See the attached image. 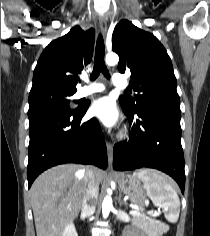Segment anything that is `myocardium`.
I'll return each mask as SVG.
<instances>
[{
	"mask_svg": "<svg viewBox=\"0 0 210 236\" xmlns=\"http://www.w3.org/2000/svg\"><path fill=\"white\" fill-rule=\"evenodd\" d=\"M125 136V134H121V137H124Z\"/></svg>",
	"mask_w": 210,
	"mask_h": 236,
	"instance_id": "myocardium-1",
	"label": "myocardium"
}]
</instances>
